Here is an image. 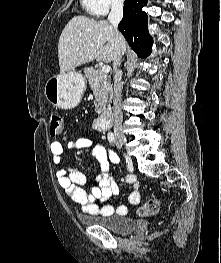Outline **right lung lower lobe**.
Masks as SVG:
<instances>
[{
  "label": "right lung lower lobe",
  "instance_id": "1",
  "mask_svg": "<svg viewBox=\"0 0 221 263\" xmlns=\"http://www.w3.org/2000/svg\"><path fill=\"white\" fill-rule=\"evenodd\" d=\"M147 0H125L123 19L118 29L121 31L138 57L146 58L151 53L152 37L147 28V14L142 8Z\"/></svg>",
  "mask_w": 221,
  "mask_h": 263
}]
</instances>
